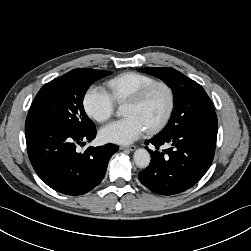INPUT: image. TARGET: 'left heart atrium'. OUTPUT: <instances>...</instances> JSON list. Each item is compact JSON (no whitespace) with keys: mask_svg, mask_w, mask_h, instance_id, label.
<instances>
[{"mask_svg":"<svg viewBox=\"0 0 251 251\" xmlns=\"http://www.w3.org/2000/svg\"><path fill=\"white\" fill-rule=\"evenodd\" d=\"M146 130L138 117L126 116L104 126L99 136L104 142L127 145L140 138Z\"/></svg>","mask_w":251,"mask_h":251,"instance_id":"obj_1","label":"left heart atrium"}]
</instances>
